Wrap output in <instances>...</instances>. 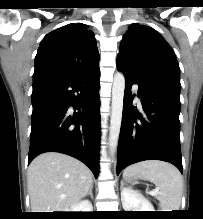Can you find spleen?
Masks as SVG:
<instances>
[{
	"instance_id": "obj_1",
	"label": "spleen",
	"mask_w": 203,
	"mask_h": 219,
	"mask_svg": "<svg viewBox=\"0 0 203 219\" xmlns=\"http://www.w3.org/2000/svg\"><path fill=\"white\" fill-rule=\"evenodd\" d=\"M123 176L139 177L153 182L159 190L157 199L162 211L179 210L183 180L173 165L158 160L143 161L127 167Z\"/></svg>"
}]
</instances>
